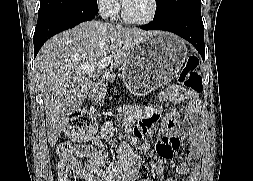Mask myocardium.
I'll return each mask as SVG.
<instances>
[{
	"instance_id": "1",
	"label": "myocardium",
	"mask_w": 253,
	"mask_h": 181,
	"mask_svg": "<svg viewBox=\"0 0 253 181\" xmlns=\"http://www.w3.org/2000/svg\"><path fill=\"white\" fill-rule=\"evenodd\" d=\"M158 8H159L158 0H151V11L148 14V16L144 18H133L126 12L124 5H122L121 15L122 18L129 24L147 25L151 23L157 16Z\"/></svg>"
}]
</instances>
